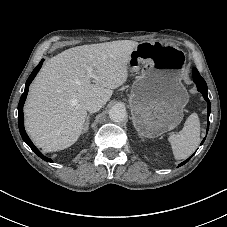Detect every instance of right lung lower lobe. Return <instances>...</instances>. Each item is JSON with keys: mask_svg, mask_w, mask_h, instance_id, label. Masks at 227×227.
<instances>
[{"mask_svg": "<svg viewBox=\"0 0 227 227\" xmlns=\"http://www.w3.org/2000/svg\"><path fill=\"white\" fill-rule=\"evenodd\" d=\"M44 60H41V62L38 64V66L32 71V73L30 74L26 84H25V90L24 93L22 94L20 101H19V105H18V125H19V131L21 134V137L23 138V140L29 145V147L43 160L47 161V162H52V160L50 158H47L46 156H44L35 146L34 144L31 142V140L29 139L28 135L25 132L24 129V116H23V105L25 102V99L27 97V93L29 90V85L32 82V80L34 79V77L36 76V74L38 73V71L40 70L42 63Z\"/></svg>", "mask_w": 227, "mask_h": 227, "instance_id": "obj_1", "label": "right lung lower lobe"}]
</instances>
